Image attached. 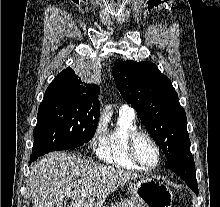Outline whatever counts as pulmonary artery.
Instances as JSON below:
<instances>
[{"instance_id": "obj_1", "label": "pulmonary artery", "mask_w": 220, "mask_h": 207, "mask_svg": "<svg viewBox=\"0 0 220 207\" xmlns=\"http://www.w3.org/2000/svg\"><path fill=\"white\" fill-rule=\"evenodd\" d=\"M120 112L129 113V114L134 115V109L131 106L127 105V104H123L120 107Z\"/></svg>"}]
</instances>
